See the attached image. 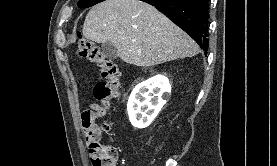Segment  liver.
<instances>
[{"instance_id": "1", "label": "liver", "mask_w": 277, "mask_h": 166, "mask_svg": "<svg viewBox=\"0 0 277 166\" xmlns=\"http://www.w3.org/2000/svg\"><path fill=\"white\" fill-rule=\"evenodd\" d=\"M83 36L111 42L126 63L150 67L200 52L196 42L153 6L139 0H105L91 8Z\"/></svg>"}]
</instances>
